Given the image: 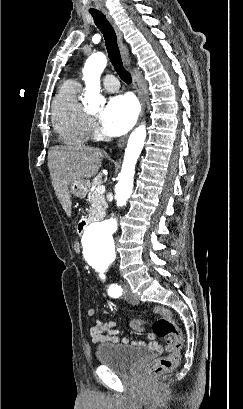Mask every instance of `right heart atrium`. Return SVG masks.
Returning <instances> with one entry per match:
<instances>
[{
	"instance_id": "right-heart-atrium-1",
	"label": "right heart atrium",
	"mask_w": 243,
	"mask_h": 409,
	"mask_svg": "<svg viewBox=\"0 0 243 409\" xmlns=\"http://www.w3.org/2000/svg\"><path fill=\"white\" fill-rule=\"evenodd\" d=\"M89 133L90 136L95 137L97 135V129L92 120L89 119Z\"/></svg>"
}]
</instances>
